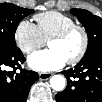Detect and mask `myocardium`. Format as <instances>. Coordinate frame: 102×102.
Segmentation results:
<instances>
[{"label": "myocardium", "instance_id": "f54148a6", "mask_svg": "<svg viewBox=\"0 0 102 102\" xmlns=\"http://www.w3.org/2000/svg\"><path fill=\"white\" fill-rule=\"evenodd\" d=\"M76 31L81 32V34L83 36V44H82V47H81L80 51L78 52V54L75 57L66 61V63L68 65H74V64L79 63L85 56L87 49H88V43H89V37H88L87 30L82 25L74 24V25H71V26L67 27L66 29L62 30L61 32L55 34L49 40V42L62 41V40L67 39L72 33L76 32Z\"/></svg>", "mask_w": 102, "mask_h": 102}]
</instances>
